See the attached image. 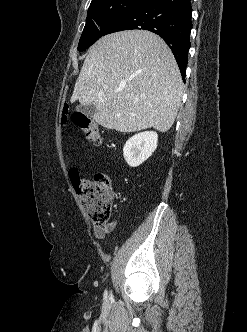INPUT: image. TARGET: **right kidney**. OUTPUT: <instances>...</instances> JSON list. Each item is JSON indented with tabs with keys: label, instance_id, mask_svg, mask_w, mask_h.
<instances>
[{
	"label": "right kidney",
	"instance_id": "1",
	"mask_svg": "<svg viewBox=\"0 0 247 332\" xmlns=\"http://www.w3.org/2000/svg\"><path fill=\"white\" fill-rule=\"evenodd\" d=\"M158 135L153 131H145L129 138L124 147L123 155L127 164L137 167L146 161L156 150Z\"/></svg>",
	"mask_w": 247,
	"mask_h": 332
}]
</instances>
